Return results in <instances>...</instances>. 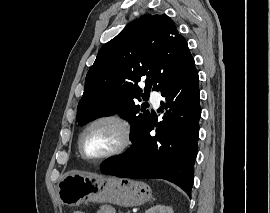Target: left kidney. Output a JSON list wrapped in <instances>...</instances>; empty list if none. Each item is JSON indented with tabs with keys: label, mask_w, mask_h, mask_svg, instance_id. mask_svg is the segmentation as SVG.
Instances as JSON below:
<instances>
[{
	"label": "left kidney",
	"mask_w": 270,
	"mask_h": 213,
	"mask_svg": "<svg viewBox=\"0 0 270 213\" xmlns=\"http://www.w3.org/2000/svg\"><path fill=\"white\" fill-rule=\"evenodd\" d=\"M145 213H174L172 208L162 204H158L149 208Z\"/></svg>",
	"instance_id": "1"
}]
</instances>
